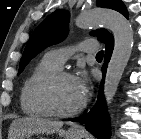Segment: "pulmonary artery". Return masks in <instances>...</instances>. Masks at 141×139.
Listing matches in <instances>:
<instances>
[{"label":"pulmonary artery","instance_id":"obj_1","mask_svg":"<svg viewBox=\"0 0 141 139\" xmlns=\"http://www.w3.org/2000/svg\"><path fill=\"white\" fill-rule=\"evenodd\" d=\"M78 50L93 53L98 50V43L94 40H85L79 44ZM72 53L73 49L71 48H60L47 52L45 58L58 68H61Z\"/></svg>","mask_w":141,"mask_h":139}]
</instances>
